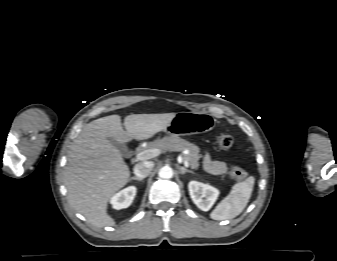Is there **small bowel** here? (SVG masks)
Segmentation results:
<instances>
[{"instance_id": "obj_1", "label": "small bowel", "mask_w": 337, "mask_h": 261, "mask_svg": "<svg viewBox=\"0 0 337 261\" xmlns=\"http://www.w3.org/2000/svg\"><path fill=\"white\" fill-rule=\"evenodd\" d=\"M203 166L208 173L213 175L223 174L227 170V166L224 162L212 160L209 154L204 155Z\"/></svg>"}]
</instances>
